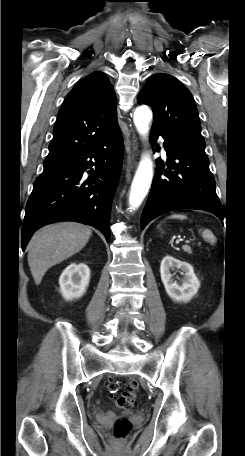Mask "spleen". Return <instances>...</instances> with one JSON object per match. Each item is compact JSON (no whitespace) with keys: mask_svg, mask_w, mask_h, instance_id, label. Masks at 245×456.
I'll list each match as a JSON object with an SVG mask.
<instances>
[{"mask_svg":"<svg viewBox=\"0 0 245 456\" xmlns=\"http://www.w3.org/2000/svg\"><path fill=\"white\" fill-rule=\"evenodd\" d=\"M170 218L186 219V216L182 215V214H174V215H171ZM202 236L204 239L210 241L211 243H214L216 241L213 233L208 229H206L202 232Z\"/></svg>","mask_w":245,"mask_h":456,"instance_id":"3e777b00","label":"spleen"}]
</instances>
